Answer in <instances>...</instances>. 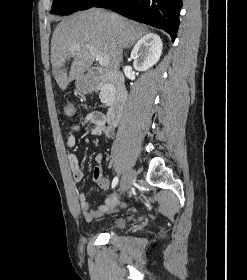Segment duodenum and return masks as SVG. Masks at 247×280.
Segmentation results:
<instances>
[{"label":"duodenum","mask_w":247,"mask_h":280,"mask_svg":"<svg viewBox=\"0 0 247 280\" xmlns=\"http://www.w3.org/2000/svg\"><path fill=\"white\" fill-rule=\"evenodd\" d=\"M109 84L110 107L107 112V120L111 125H117L125 108L127 91L123 84V78L117 73H108L99 68H91L87 73L85 88L89 91H96L103 85Z\"/></svg>","instance_id":"obj_1"}]
</instances>
